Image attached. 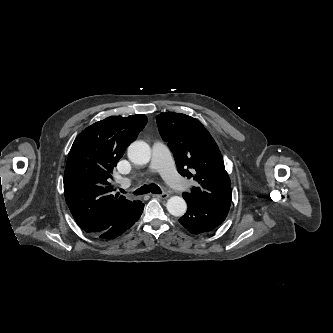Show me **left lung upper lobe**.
Listing matches in <instances>:
<instances>
[{
	"mask_svg": "<svg viewBox=\"0 0 333 333\" xmlns=\"http://www.w3.org/2000/svg\"><path fill=\"white\" fill-rule=\"evenodd\" d=\"M156 121L162 139L174 154L178 172L196 181L191 192L183 196L229 211L230 178L220 150L207 129L197 119L181 113H161Z\"/></svg>",
	"mask_w": 333,
	"mask_h": 333,
	"instance_id": "5c2ea615",
	"label": "left lung upper lobe"
}]
</instances>
